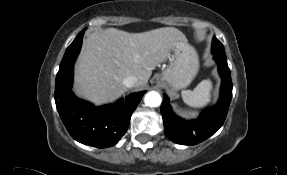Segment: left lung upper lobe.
I'll return each mask as SVG.
<instances>
[{
    "label": "left lung upper lobe",
    "instance_id": "obj_1",
    "mask_svg": "<svg viewBox=\"0 0 287 175\" xmlns=\"http://www.w3.org/2000/svg\"><path fill=\"white\" fill-rule=\"evenodd\" d=\"M212 52L220 55H226L223 44L216 37H213Z\"/></svg>",
    "mask_w": 287,
    "mask_h": 175
}]
</instances>
